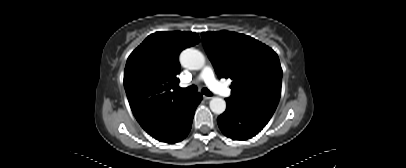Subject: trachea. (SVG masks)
<instances>
[{
    "mask_svg": "<svg viewBox=\"0 0 406 168\" xmlns=\"http://www.w3.org/2000/svg\"><path fill=\"white\" fill-rule=\"evenodd\" d=\"M177 91L185 94H194L195 92H197V87L195 85H192L187 88H178ZM202 93L205 94L206 96L213 95L212 92H210L207 88H203Z\"/></svg>",
    "mask_w": 406,
    "mask_h": 168,
    "instance_id": "trachea-1",
    "label": "trachea"
}]
</instances>
